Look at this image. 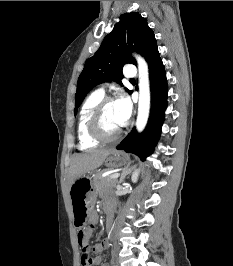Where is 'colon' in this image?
<instances>
[{"mask_svg": "<svg viewBox=\"0 0 233 266\" xmlns=\"http://www.w3.org/2000/svg\"><path fill=\"white\" fill-rule=\"evenodd\" d=\"M87 228L93 229V225L89 224ZM78 237H79V244L81 247V263L83 266H87L91 261V255H90V251L88 250V248L84 246L82 242L83 230L79 231Z\"/></svg>", "mask_w": 233, "mask_h": 266, "instance_id": "colon-1", "label": "colon"}]
</instances>
